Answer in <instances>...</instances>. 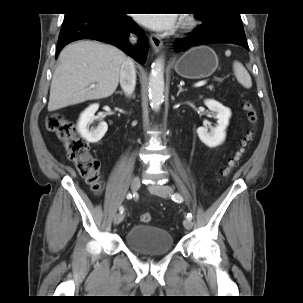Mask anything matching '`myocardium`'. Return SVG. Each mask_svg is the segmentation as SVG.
<instances>
[{
	"mask_svg": "<svg viewBox=\"0 0 303 303\" xmlns=\"http://www.w3.org/2000/svg\"><path fill=\"white\" fill-rule=\"evenodd\" d=\"M196 24V18L192 14H186L182 17L181 27L183 29H190Z\"/></svg>",
	"mask_w": 303,
	"mask_h": 303,
	"instance_id": "1",
	"label": "myocardium"
}]
</instances>
